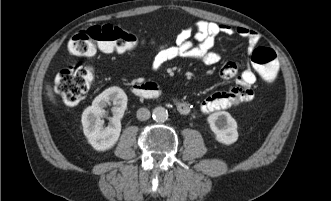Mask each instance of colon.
I'll list each match as a JSON object with an SVG mask.
<instances>
[{"mask_svg": "<svg viewBox=\"0 0 331 201\" xmlns=\"http://www.w3.org/2000/svg\"><path fill=\"white\" fill-rule=\"evenodd\" d=\"M137 37L117 26L96 25L80 30L68 42V51L76 56H89L97 51L127 52L138 46ZM261 77L272 82L278 71L277 56L273 49L259 47L251 56ZM93 72L86 66H68L56 77L55 89L66 105L82 101L93 82Z\"/></svg>", "mask_w": 331, "mask_h": 201, "instance_id": "5ec220e1", "label": "colon"}]
</instances>
